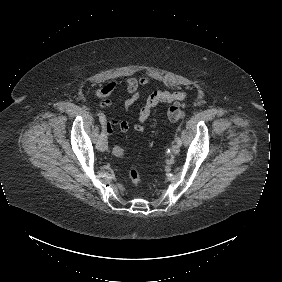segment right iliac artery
<instances>
[{
    "label": "right iliac artery",
    "instance_id": "right-iliac-artery-1",
    "mask_svg": "<svg viewBox=\"0 0 282 282\" xmlns=\"http://www.w3.org/2000/svg\"><path fill=\"white\" fill-rule=\"evenodd\" d=\"M99 120H100V123H101V125H102V129H103V132L101 133V137L102 136H104V126H105V124H106V117H105V115L103 114V113H100L99 114Z\"/></svg>",
    "mask_w": 282,
    "mask_h": 282
}]
</instances>
